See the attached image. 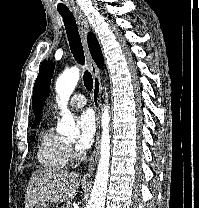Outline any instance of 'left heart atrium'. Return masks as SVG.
<instances>
[{
    "instance_id": "obj_1",
    "label": "left heart atrium",
    "mask_w": 199,
    "mask_h": 208,
    "mask_svg": "<svg viewBox=\"0 0 199 208\" xmlns=\"http://www.w3.org/2000/svg\"><path fill=\"white\" fill-rule=\"evenodd\" d=\"M77 124L80 129L78 148L86 150L93 142L96 133V119L91 109L83 110L77 117Z\"/></svg>"
}]
</instances>
